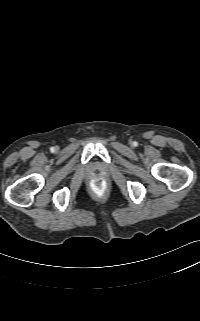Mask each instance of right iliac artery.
Here are the masks:
<instances>
[{
	"label": "right iliac artery",
	"instance_id": "right-iliac-artery-1",
	"mask_svg": "<svg viewBox=\"0 0 200 321\" xmlns=\"http://www.w3.org/2000/svg\"><path fill=\"white\" fill-rule=\"evenodd\" d=\"M50 150H51V152H54L55 148H54V147H51Z\"/></svg>",
	"mask_w": 200,
	"mask_h": 321
}]
</instances>
